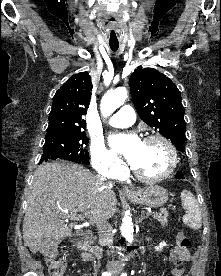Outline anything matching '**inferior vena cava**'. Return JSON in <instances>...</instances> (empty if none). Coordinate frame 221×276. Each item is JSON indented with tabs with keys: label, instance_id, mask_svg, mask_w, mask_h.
Returning <instances> with one entry per match:
<instances>
[{
	"label": "inferior vena cava",
	"instance_id": "602c4592",
	"mask_svg": "<svg viewBox=\"0 0 221 276\" xmlns=\"http://www.w3.org/2000/svg\"><path fill=\"white\" fill-rule=\"evenodd\" d=\"M101 180H104L101 178ZM97 226L98 234H99V243L102 246H108L109 248H113V233H112V227L108 223L106 219L103 218H97L94 221ZM113 254V251H112ZM119 262L116 261L114 258L111 262L112 266H118Z\"/></svg>",
	"mask_w": 221,
	"mask_h": 276
}]
</instances>
